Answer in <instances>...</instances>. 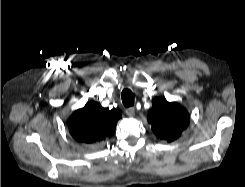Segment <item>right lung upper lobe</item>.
I'll list each match as a JSON object with an SVG mask.
<instances>
[{
  "mask_svg": "<svg viewBox=\"0 0 245 187\" xmlns=\"http://www.w3.org/2000/svg\"><path fill=\"white\" fill-rule=\"evenodd\" d=\"M120 118L117 110L103 108L97 102H88L72 114L68 128L77 141L92 144L110 137Z\"/></svg>",
  "mask_w": 245,
  "mask_h": 187,
  "instance_id": "cb5924a9",
  "label": "right lung upper lobe"
}]
</instances>
